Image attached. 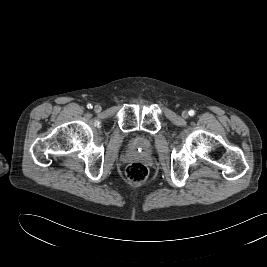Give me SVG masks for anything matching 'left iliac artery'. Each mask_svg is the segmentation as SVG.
I'll return each instance as SVG.
<instances>
[{
    "instance_id": "44dca946",
    "label": "left iliac artery",
    "mask_w": 267,
    "mask_h": 267,
    "mask_svg": "<svg viewBox=\"0 0 267 267\" xmlns=\"http://www.w3.org/2000/svg\"><path fill=\"white\" fill-rule=\"evenodd\" d=\"M189 115H190V116H194V115H195V111H194V110H190V111H189Z\"/></svg>"
}]
</instances>
